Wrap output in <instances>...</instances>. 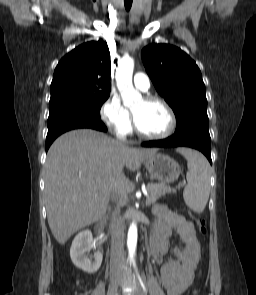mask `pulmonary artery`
I'll return each instance as SVG.
<instances>
[{
	"mask_svg": "<svg viewBox=\"0 0 256 295\" xmlns=\"http://www.w3.org/2000/svg\"><path fill=\"white\" fill-rule=\"evenodd\" d=\"M133 83L134 86L143 91L146 92L150 88V79L149 77L141 72H137L133 77Z\"/></svg>",
	"mask_w": 256,
	"mask_h": 295,
	"instance_id": "e3ab8cb5",
	"label": "pulmonary artery"
}]
</instances>
